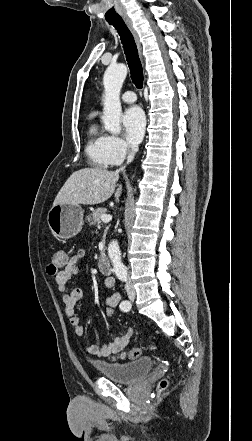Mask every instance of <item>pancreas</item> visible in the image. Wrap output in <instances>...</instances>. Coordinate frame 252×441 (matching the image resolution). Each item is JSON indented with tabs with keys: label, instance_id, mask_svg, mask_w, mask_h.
Returning <instances> with one entry per match:
<instances>
[{
	"label": "pancreas",
	"instance_id": "cf45deb5",
	"mask_svg": "<svg viewBox=\"0 0 252 441\" xmlns=\"http://www.w3.org/2000/svg\"><path fill=\"white\" fill-rule=\"evenodd\" d=\"M106 213L105 208H98L92 213V220L94 223H101V216Z\"/></svg>",
	"mask_w": 252,
	"mask_h": 441
}]
</instances>
